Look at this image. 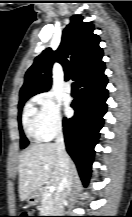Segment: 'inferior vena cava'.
<instances>
[{"label":"inferior vena cava","mask_w":132,"mask_h":217,"mask_svg":"<svg viewBox=\"0 0 132 217\" xmlns=\"http://www.w3.org/2000/svg\"><path fill=\"white\" fill-rule=\"evenodd\" d=\"M55 144L57 147L58 167L61 180L55 195L54 212L56 216H63L64 204L71 190L74 171L72 161L65 150L64 136L61 128L57 133Z\"/></svg>","instance_id":"obj_1"}]
</instances>
